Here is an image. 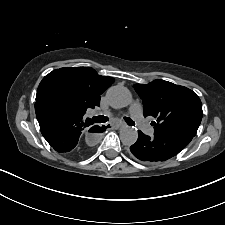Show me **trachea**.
<instances>
[{"label":"trachea","mask_w":225,"mask_h":225,"mask_svg":"<svg viewBox=\"0 0 225 225\" xmlns=\"http://www.w3.org/2000/svg\"><path fill=\"white\" fill-rule=\"evenodd\" d=\"M107 120H108V117H105L103 115L94 117V121L97 122V123L106 122ZM124 120L130 126H134L135 125L134 121L132 119L128 118V117H124Z\"/></svg>","instance_id":"1"}]
</instances>
